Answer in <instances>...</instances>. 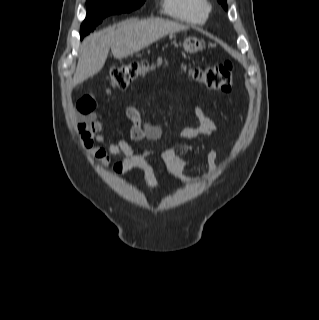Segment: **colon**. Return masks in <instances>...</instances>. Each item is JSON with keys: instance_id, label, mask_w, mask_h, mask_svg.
<instances>
[{"instance_id": "5ec220e1", "label": "colon", "mask_w": 319, "mask_h": 320, "mask_svg": "<svg viewBox=\"0 0 319 320\" xmlns=\"http://www.w3.org/2000/svg\"><path fill=\"white\" fill-rule=\"evenodd\" d=\"M152 69L146 60L131 61L115 66L109 73L108 79L114 88L125 89L135 80L145 76ZM190 76L198 83L213 90H231L234 85L233 65L230 61L210 65L206 67H194L189 69ZM145 137L155 138L154 132L145 134ZM131 140H137L135 135L130 134ZM115 169L119 171L121 165Z\"/></svg>"}]
</instances>
